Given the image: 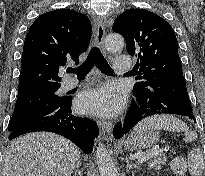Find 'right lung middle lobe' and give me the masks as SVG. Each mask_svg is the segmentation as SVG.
<instances>
[{
	"mask_svg": "<svg viewBox=\"0 0 205 176\" xmlns=\"http://www.w3.org/2000/svg\"><path fill=\"white\" fill-rule=\"evenodd\" d=\"M60 86L42 89L17 97L12 118L8 124V131H13L26 122L36 112L51 102H59L64 99L56 94Z\"/></svg>",
	"mask_w": 205,
	"mask_h": 176,
	"instance_id": "obj_1",
	"label": "right lung middle lobe"
}]
</instances>
